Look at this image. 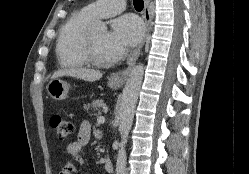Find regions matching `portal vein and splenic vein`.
Listing matches in <instances>:
<instances>
[{
	"label": "portal vein and splenic vein",
	"instance_id": "18ae733b",
	"mask_svg": "<svg viewBox=\"0 0 249 174\" xmlns=\"http://www.w3.org/2000/svg\"><path fill=\"white\" fill-rule=\"evenodd\" d=\"M105 122V117L104 116H99L98 118H97V123L98 124H102V123H104Z\"/></svg>",
	"mask_w": 249,
	"mask_h": 174
}]
</instances>
